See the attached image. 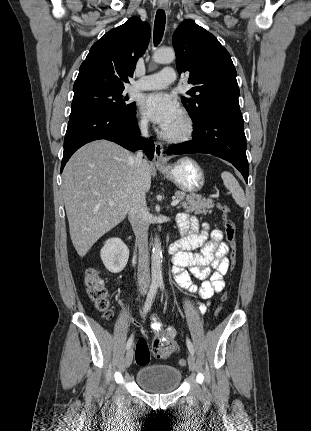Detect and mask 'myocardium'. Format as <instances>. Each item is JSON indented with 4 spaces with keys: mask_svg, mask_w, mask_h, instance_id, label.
Listing matches in <instances>:
<instances>
[{
    "mask_svg": "<svg viewBox=\"0 0 311 431\" xmlns=\"http://www.w3.org/2000/svg\"><path fill=\"white\" fill-rule=\"evenodd\" d=\"M181 117L185 123V130L182 133L168 135L162 132L161 137L169 143H181L190 140L196 133V121L194 117L188 112L183 111Z\"/></svg>",
    "mask_w": 311,
    "mask_h": 431,
    "instance_id": "myocardium-1",
    "label": "myocardium"
}]
</instances>
